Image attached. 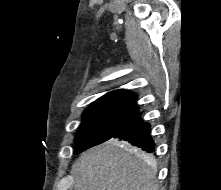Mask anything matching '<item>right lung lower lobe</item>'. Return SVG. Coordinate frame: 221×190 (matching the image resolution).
<instances>
[{
    "mask_svg": "<svg viewBox=\"0 0 221 190\" xmlns=\"http://www.w3.org/2000/svg\"><path fill=\"white\" fill-rule=\"evenodd\" d=\"M113 138L127 141L148 153L154 152L155 143L150 135V124L144 122L140 111Z\"/></svg>",
    "mask_w": 221,
    "mask_h": 190,
    "instance_id": "98d812e1",
    "label": "right lung lower lobe"
}]
</instances>
